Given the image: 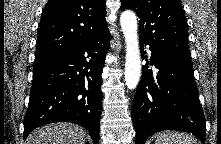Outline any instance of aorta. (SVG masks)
<instances>
[{
    "label": "aorta",
    "mask_w": 221,
    "mask_h": 144,
    "mask_svg": "<svg viewBox=\"0 0 221 144\" xmlns=\"http://www.w3.org/2000/svg\"><path fill=\"white\" fill-rule=\"evenodd\" d=\"M121 28L126 42L125 84L134 89L140 80L141 58L137 35V19L132 11H124L120 17Z\"/></svg>",
    "instance_id": "762f6f07"
}]
</instances>
